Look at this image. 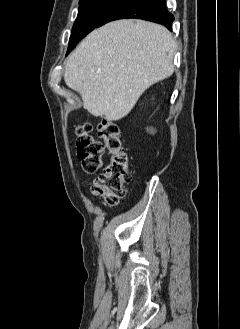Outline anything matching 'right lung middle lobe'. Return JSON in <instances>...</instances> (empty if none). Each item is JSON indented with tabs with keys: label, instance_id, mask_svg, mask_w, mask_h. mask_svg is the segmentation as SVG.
Returning a JSON list of instances; mask_svg holds the SVG:
<instances>
[{
	"label": "right lung middle lobe",
	"instance_id": "1",
	"mask_svg": "<svg viewBox=\"0 0 240 329\" xmlns=\"http://www.w3.org/2000/svg\"><path fill=\"white\" fill-rule=\"evenodd\" d=\"M120 0H80L77 19L74 22L67 53L76 44L91 32L98 22L119 2Z\"/></svg>",
	"mask_w": 240,
	"mask_h": 329
}]
</instances>
